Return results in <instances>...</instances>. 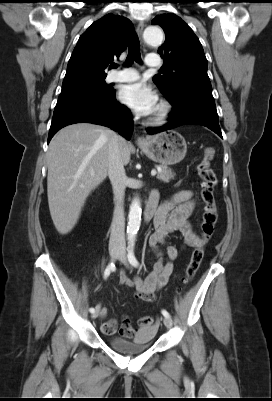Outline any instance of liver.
Segmentation results:
<instances>
[{
    "label": "liver",
    "mask_w": 272,
    "mask_h": 401,
    "mask_svg": "<svg viewBox=\"0 0 272 401\" xmlns=\"http://www.w3.org/2000/svg\"><path fill=\"white\" fill-rule=\"evenodd\" d=\"M115 133L90 123H77L61 129L47 152V195L50 215L60 234L70 232L90 192L108 175L109 143ZM124 165L131 148L120 137Z\"/></svg>",
    "instance_id": "obj_1"
}]
</instances>
